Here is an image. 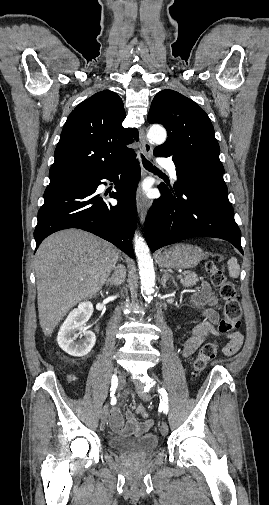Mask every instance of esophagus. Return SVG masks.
I'll list each match as a JSON object with an SVG mask.
<instances>
[{
	"mask_svg": "<svg viewBox=\"0 0 269 505\" xmlns=\"http://www.w3.org/2000/svg\"><path fill=\"white\" fill-rule=\"evenodd\" d=\"M140 142H141V145H142V151H143L144 155L147 158H151L153 147L148 142V140H147V138L145 136V132H144L143 129L140 130ZM148 207H149L148 200L145 198V196L143 195V193L139 190L138 193H137V210H138V213H139L140 220H141L142 224L145 221V217H146V214H147Z\"/></svg>",
	"mask_w": 269,
	"mask_h": 505,
	"instance_id": "1",
	"label": "esophagus"
}]
</instances>
